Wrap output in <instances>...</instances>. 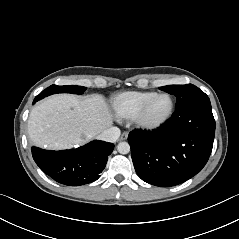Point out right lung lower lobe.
Here are the masks:
<instances>
[{
  "label": "right lung lower lobe",
  "mask_w": 239,
  "mask_h": 239,
  "mask_svg": "<svg viewBox=\"0 0 239 239\" xmlns=\"http://www.w3.org/2000/svg\"><path fill=\"white\" fill-rule=\"evenodd\" d=\"M37 98L34 99L35 103ZM114 144L94 140L70 150L48 151L32 147V156L40 169L55 181L71 186L91 183L100 177Z\"/></svg>",
  "instance_id": "98d812e1"
}]
</instances>
